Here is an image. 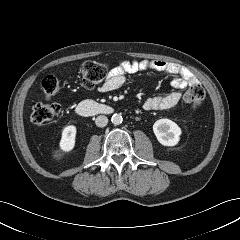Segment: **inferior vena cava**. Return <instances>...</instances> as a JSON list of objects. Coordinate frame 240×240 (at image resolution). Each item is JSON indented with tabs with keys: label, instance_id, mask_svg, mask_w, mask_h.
<instances>
[{
	"label": "inferior vena cava",
	"instance_id": "inferior-vena-cava-1",
	"mask_svg": "<svg viewBox=\"0 0 240 240\" xmlns=\"http://www.w3.org/2000/svg\"><path fill=\"white\" fill-rule=\"evenodd\" d=\"M108 123V118L104 115H100L96 118L95 120V124L98 126V127H105Z\"/></svg>",
	"mask_w": 240,
	"mask_h": 240
}]
</instances>
